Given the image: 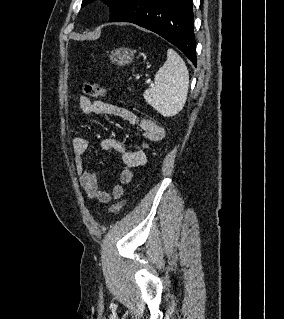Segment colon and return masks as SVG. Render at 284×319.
Returning a JSON list of instances; mask_svg holds the SVG:
<instances>
[{"label":"colon","mask_w":284,"mask_h":319,"mask_svg":"<svg viewBox=\"0 0 284 319\" xmlns=\"http://www.w3.org/2000/svg\"><path fill=\"white\" fill-rule=\"evenodd\" d=\"M83 92L91 98L100 99L105 95V90L97 83L86 82L83 85ZM125 200H120L119 202L112 205L108 210V215L118 213L125 205Z\"/></svg>","instance_id":"obj_1"}]
</instances>
